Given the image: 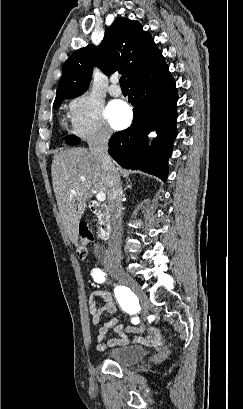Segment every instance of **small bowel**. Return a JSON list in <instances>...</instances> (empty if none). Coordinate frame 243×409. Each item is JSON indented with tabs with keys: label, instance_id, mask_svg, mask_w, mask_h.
<instances>
[{
	"label": "small bowel",
	"instance_id": "small-bowel-1",
	"mask_svg": "<svg viewBox=\"0 0 243 409\" xmlns=\"http://www.w3.org/2000/svg\"><path fill=\"white\" fill-rule=\"evenodd\" d=\"M88 308L92 314L93 324L100 322L103 313L114 314L117 311L113 293L110 290H98L93 292L88 299ZM136 317L132 318L135 319ZM133 323V322H132ZM110 328L114 329L117 337L106 340V334ZM132 333L134 336H129ZM145 333V334H144ZM137 344L148 347L159 348L164 344L161 330L149 325L126 326L119 323L115 317L104 321L97 333V348L105 351L111 347Z\"/></svg>",
	"mask_w": 243,
	"mask_h": 409
}]
</instances>
